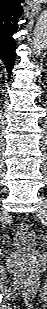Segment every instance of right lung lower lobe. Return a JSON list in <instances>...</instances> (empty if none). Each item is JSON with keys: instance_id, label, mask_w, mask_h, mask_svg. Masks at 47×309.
Segmentation results:
<instances>
[{"instance_id": "1", "label": "right lung lower lobe", "mask_w": 47, "mask_h": 309, "mask_svg": "<svg viewBox=\"0 0 47 309\" xmlns=\"http://www.w3.org/2000/svg\"><path fill=\"white\" fill-rule=\"evenodd\" d=\"M24 0H0V60L5 64L9 77L15 63V40L17 20L21 15L20 3Z\"/></svg>"}]
</instances>
